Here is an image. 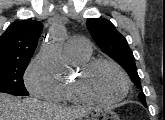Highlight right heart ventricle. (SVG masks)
<instances>
[{
    "label": "right heart ventricle",
    "instance_id": "e07e8e85",
    "mask_svg": "<svg viewBox=\"0 0 165 120\" xmlns=\"http://www.w3.org/2000/svg\"><path fill=\"white\" fill-rule=\"evenodd\" d=\"M70 60L80 68L84 63L90 60V54L85 56L69 55ZM59 102L78 104L83 103L84 100L76 93L74 88V80L67 81L61 84Z\"/></svg>",
    "mask_w": 165,
    "mask_h": 120
}]
</instances>
